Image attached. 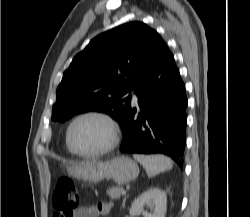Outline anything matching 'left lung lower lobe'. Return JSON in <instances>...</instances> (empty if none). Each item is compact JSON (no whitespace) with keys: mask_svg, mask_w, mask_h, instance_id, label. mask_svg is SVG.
I'll use <instances>...</instances> for the list:
<instances>
[{"mask_svg":"<svg viewBox=\"0 0 250 217\" xmlns=\"http://www.w3.org/2000/svg\"><path fill=\"white\" fill-rule=\"evenodd\" d=\"M134 92L138 107H131L122 124L121 152L165 154L183 168L188 102L174 57L164 41Z\"/></svg>","mask_w":250,"mask_h":217,"instance_id":"0a47b994","label":"left lung lower lobe"}]
</instances>
